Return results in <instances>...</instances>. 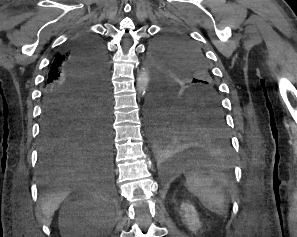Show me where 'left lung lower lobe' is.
<instances>
[{
    "instance_id": "left-lung-lower-lobe-1",
    "label": "left lung lower lobe",
    "mask_w": 297,
    "mask_h": 237,
    "mask_svg": "<svg viewBox=\"0 0 297 237\" xmlns=\"http://www.w3.org/2000/svg\"><path fill=\"white\" fill-rule=\"evenodd\" d=\"M149 115L156 154L167 168L222 165L231 157L222 106L212 100L180 104L153 95Z\"/></svg>"
}]
</instances>
